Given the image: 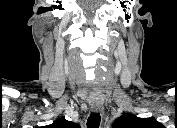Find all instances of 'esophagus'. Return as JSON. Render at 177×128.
<instances>
[{"label": "esophagus", "instance_id": "esophagus-1", "mask_svg": "<svg viewBox=\"0 0 177 128\" xmlns=\"http://www.w3.org/2000/svg\"><path fill=\"white\" fill-rule=\"evenodd\" d=\"M91 110L94 112H103L104 108L102 105H92Z\"/></svg>", "mask_w": 177, "mask_h": 128}]
</instances>
